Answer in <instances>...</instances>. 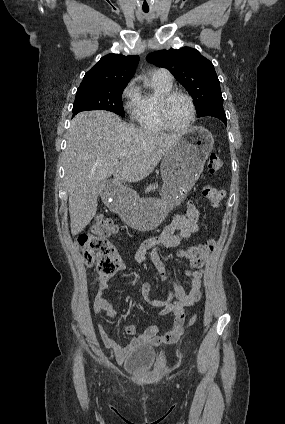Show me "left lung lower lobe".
Returning a JSON list of instances; mask_svg holds the SVG:
<instances>
[{
  "instance_id": "left-lung-lower-lobe-1",
  "label": "left lung lower lobe",
  "mask_w": 285,
  "mask_h": 424,
  "mask_svg": "<svg viewBox=\"0 0 285 424\" xmlns=\"http://www.w3.org/2000/svg\"><path fill=\"white\" fill-rule=\"evenodd\" d=\"M211 116L220 119L227 126V118L223 108V104H216L206 109L197 117Z\"/></svg>"
}]
</instances>
